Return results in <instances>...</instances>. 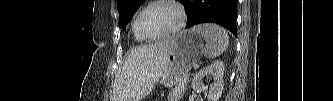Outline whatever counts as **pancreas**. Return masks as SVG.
Masks as SVG:
<instances>
[{"mask_svg": "<svg viewBox=\"0 0 333 101\" xmlns=\"http://www.w3.org/2000/svg\"><path fill=\"white\" fill-rule=\"evenodd\" d=\"M189 81V75L183 76L179 82L175 85V87L170 91L168 95V101H179L181 97L183 96L187 84Z\"/></svg>", "mask_w": 333, "mask_h": 101, "instance_id": "obj_1", "label": "pancreas"}]
</instances>
